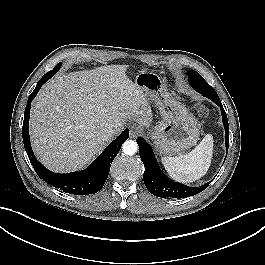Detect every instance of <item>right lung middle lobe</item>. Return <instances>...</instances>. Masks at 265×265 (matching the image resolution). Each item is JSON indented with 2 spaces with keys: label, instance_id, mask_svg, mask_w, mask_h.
Listing matches in <instances>:
<instances>
[{
  "label": "right lung middle lobe",
  "instance_id": "dd1d6c3e",
  "mask_svg": "<svg viewBox=\"0 0 265 265\" xmlns=\"http://www.w3.org/2000/svg\"><path fill=\"white\" fill-rule=\"evenodd\" d=\"M61 65H62L61 62L58 63V64L54 67V69L51 70V71H49L47 74H53V75H54V74L60 69Z\"/></svg>",
  "mask_w": 265,
  "mask_h": 265
}]
</instances>
